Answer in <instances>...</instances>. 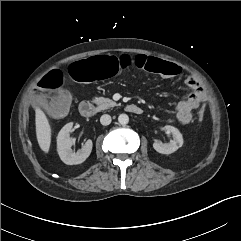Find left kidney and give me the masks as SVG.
Returning <instances> with one entry per match:
<instances>
[{
	"instance_id": "obj_1",
	"label": "left kidney",
	"mask_w": 241,
	"mask_h": 241,
	"mask_svg": "<svg viewBox=\"0 0 241 241\" xmlns=\"http://www.w3.org/2000/svg\"><path fill=\"white\" fill-rule=\"evenodd\" d=\"M164 130L173 135V140L169 143H162L160 141H155L153 143V148L161 154H171L178 150L183 145V137L180 131L174 126L166 125Z\"/></svg>"
}]
</instances>
